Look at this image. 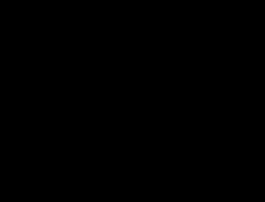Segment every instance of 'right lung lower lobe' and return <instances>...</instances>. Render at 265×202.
I'll return each instance as SVG.
<instances>
[{
	"label": "right lung lower lobe",
	"instance_id": "obj_1",
	"mask_svg": "<svg viewBox=\"0 0 265 202\" xmlns=\"http://www.w3.org/2000/svg\"><path fill=\"white\" fill-rule=\"evenodd\" d=\"M37 110L40 128L49 145L66 160L77 165H89L106 157L111 151L118 128L136 112L135 108L109 119L92 130L66 133L52 129L43 113L42 91L38 92Z\"/></svg>",
	"mask_w": 265,
	"mask_h": 202
}]
</instances>
